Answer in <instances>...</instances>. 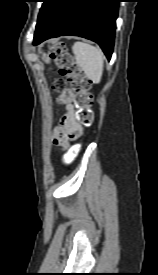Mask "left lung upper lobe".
<instances>
[{
	"mask_svg": "<svg viewBox=\"0 0 158 275\" xmlns=\"http://www.w3.org/2000/svg\"><path fill=\"white\" fill-rule=\"evenodd\" d=\"M50 0H44L43 2V5L41 7V10H40V13H39V16H38V20H37V26L41 23V20H42V16H43V10L44 8L47 6V4L49 3ZM36 26V27H37Z\"/></svg>",
	"mask_w": 158,
	"mask_h": 275,
	"instance_id": "5c2ea615",
	"label": "left lung upper lobe"
}]
</instances>
